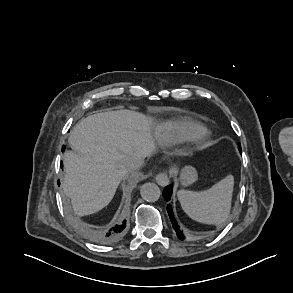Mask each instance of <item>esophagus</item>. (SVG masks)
<instances>
[{"mask_svg": "<svg viewBox=\"0 0 293 293\" xmlns=\"http://www.w3.org/2000/svg\"><path fill=\"white\" fill-rule=\"evenodd\" d=\"M156 182L161 186H167L169 184V176L166 171L156 175Z\"/></svg>", "mask_w": 293, "mask_h": 293, "instance_id": "1", "label": "esophagus"}]
</instances>
